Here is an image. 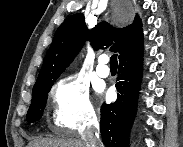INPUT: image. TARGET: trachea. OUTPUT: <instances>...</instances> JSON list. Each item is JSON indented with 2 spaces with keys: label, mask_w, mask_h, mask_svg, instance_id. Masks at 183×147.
<instances>
[{
  "label": "trachea",
  "mask_w": 183,
  "mask_h": 147,
  "mask_svg": "<svg viewBox=\"0 0 183 147\" xmlns=\"http://www.w3.org/2000/svg\"><path fill=\"white\" fill-rule=\"evenodd\" d=\"M110 67H118L117 54H113L110 58Z\"/></svg>",
  "instance_id": "3493384b"
}]
</instances>
